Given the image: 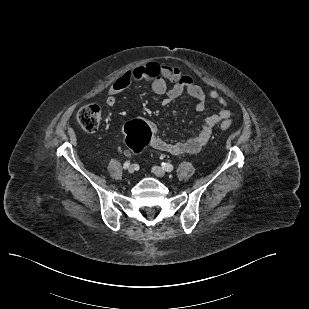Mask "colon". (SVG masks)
<instances>
[{
    "mask_svg": "<svg viewBox=\"0 0 309 309\" xmlns=\"http://www.w3.org/2000/svg\"><path fill=\"white\" fill-rule=\"evenodd\" d=\"M77 120L85 131L94 132L101 123L102 110L98 105H85L78 111ZM230 127L231 122L228 120L220 123L221 130H227ZM124 133L127 145L133 153L141 152L151 139V131L148 125L140 119L127 122L124 126Z\"/></svg>",
    "mask_w": 309,
    "mask_h": 309,
    "instance_id": "5ec220e1",
    "label": "colon"
}]
</instances>
